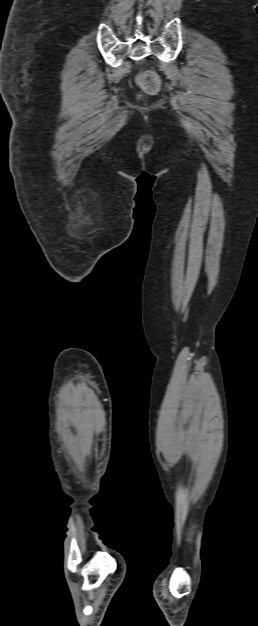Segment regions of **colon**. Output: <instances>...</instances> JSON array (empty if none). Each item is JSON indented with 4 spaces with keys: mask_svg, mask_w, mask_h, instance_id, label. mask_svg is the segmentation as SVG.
Returning a JSON list of instances; mask_svg holds the SVG:
<instances>
[{
    "mask_svg": "<svg viewBox=\"0 0 258 626\" xmlns=\"http://www.w3.org/2000/svg\"><path fill=\"white\" fill-rule=\"evenodd\" d=\"M141 86L148 92H155L159 87L158 77L153 73H146L139 79Z\"/></svg>",
    "mask_w": 258,
    "mask_h": 626,
    "instance_id": "obj_1",
    "label": "colon"
}]
</instances>
